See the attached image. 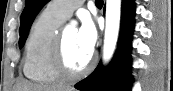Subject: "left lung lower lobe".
<instances>
[{"instance_id": "obj_1", "label": "left lung lower lobe", "mask_w": 173, "mask_h": 91, "mask_svg": "<svg viewBox=\"0 0 173 91\" xmlns=\"http://www.w3.org/2000/svg\"><path fill=\"white\" fill-rule=\"evenodd\" d=\"M134 14V0H124L122 30L117 54L106 68L100 62L87 78L75 85L76 89L81 91H130L132 83L130 52Z\"/></svg>"}]
</instances>
